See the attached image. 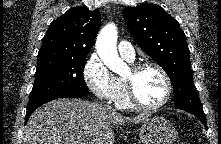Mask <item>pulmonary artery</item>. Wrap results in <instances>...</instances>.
<instances>
[{"label":"pulmonary artery","instance_id":"1","mask_svg":"<svg viewBox=\"0 0 221 144\" xmlns=\"http://www.w3.org/2000/svg\"><path fill=\"white\" fill-rule=\"evenodd\" d=\"M119 54L128 61H134L135 59V50L131 43L127 41H121L118 44Z\"/></svg>","mask_w":221,"mask_h":144}]
</instances>
